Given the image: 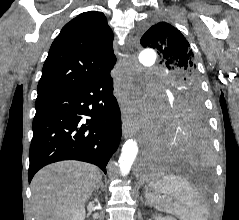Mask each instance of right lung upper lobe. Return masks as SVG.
Returning <instances> with one entry per match:
<instances>
[{"instance_id": "cb5924a9", "label": "right lung upper lobe", "mask_w": 239, "mask_h": 220, "mask_svg": "<svg viewBox=\"0 0 239 220\" xmlns=\"http://www.w3.org/2000/svg\"><path fill=\"white\" fill-rule=\"evenodd\" d=\"M105 15L84 12L66 24L43 65L37 99L85 86L116 63Z\"/></svg>"}]
</instances>
